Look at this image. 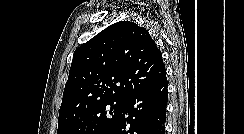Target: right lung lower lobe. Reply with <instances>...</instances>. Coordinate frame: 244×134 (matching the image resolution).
<instances>
[{
	"label": "right lung lower lobe",
	"instance_id": "1",
	"mask_svg": "<svg viewBox=\"0 0 244 134\" xmlns=\"http://www.w3.org/2000/svg\"><path fill=\"white\" fill-rule=\"evenodd\" d=\"M167 88L165 76L129 96L121 114L104 134H165Z\"/></svg>",
	"mask_w": 244,
	"mask_h": 134
}]
</instances>
